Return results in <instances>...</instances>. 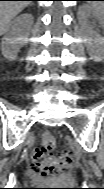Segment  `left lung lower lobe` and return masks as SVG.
<instances>
[{"mask_svg":"<svg viewBox=\"0 0 104 189\" xmlns=\"http://www.w3.org/2000/svg\"><path fill=\"white\" fill-rule=\"evenodd\" d=\"M78 1H87V0H78Z\"/></svg>","mask_w":104,"mask_h":189,"instance_id":"left-lung-lower-lobe-1","label":"left lung lower lobe"}]
</instances>
